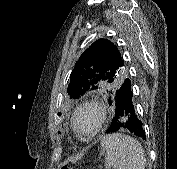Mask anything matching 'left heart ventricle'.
Returning a JSON list of instances; mask_svg holds the SVG:
<instances>
[{
  "label": "left heart ventricle",
  "instance_id": "left-heart-ventricle-1",
  "mask_svg": "<svg viewBox=\"0 0 177 169\" xmlns=\"http://www.w3.org/2000/svg\"><path fill=\"white\" fill-rule=\"evenodd\" d=\"M77 126L83 134H90L96 127L95 113L91 110H83L78 115Z\"/></svg>",
  "mask_w": 177,
  "mask_h": 169
}]
</instances>
